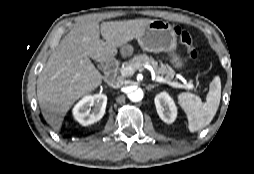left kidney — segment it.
<instances>
[{"label":"left kidney","mask_w":254,"mask_h":174,"mask_svg":"<svg viewBox=\"0 0 254 174\" xmlns=\"http://www.w3.org/2000/svg\"><path fill=\"white\" fill-rule=\"evenodd\" d=\"M155 106L161 120L171 124L177 117V107L173 99L166 92H161L155 97Z\"/></svg>","instance_id":"1"}]
</instances>
